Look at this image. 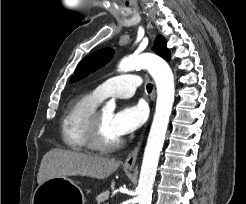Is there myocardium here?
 Masks as SVG:
<instances>
[{"label":"myocardium","mask_w":246,"mask_h":204,"mask_svg":"<svg viewBox=\"0 0 246 204\" xmlns=\"http://www.w3.org/2000/svg\"><path fill=\"white\" fill-rule=\"evenodd\" d=\"M87 139L89 147L101 151V152H110L118 149L123 144V139L119 138L114 142L107 143L102 139V122L100 112L96 111L91 119Z\"/></svg>","instance_id":"f54148a6"}]
</instances>
